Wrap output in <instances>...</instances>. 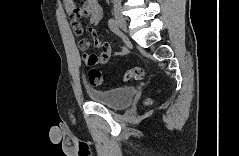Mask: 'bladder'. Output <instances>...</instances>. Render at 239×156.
<instances>
[{
  "label": "bladder",
  "instance_id": "obj_1",
  "mask_svg": "<svg viewBox=\"0 0 239 156\" xmlns=\"http://www.w3.org/2000/svg\"><path fill=\"white\" fill-rule=\"evenodd\" d=\"M86 92L91 101L105 105L112 109H122L130 105L134 96L135 88L131 86L97 90L87 88Z\"/></svg>",
  "mask_w": 239,
  "mask_h": 156
}]
</instances>
